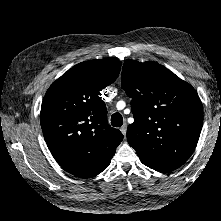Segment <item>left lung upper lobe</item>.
I'll use <instances>...</instances> for the list:
<instances>
[{"instance_id":"obj_1","label":"left lung upper lobe","mask_w":221,"mask_h":221,"mask_svg":"<svg viewBox=\"0 0 221 221\" xmlns=\"http://www.w3.org/2000/svg\"><path fill=\"white\" fill-rule=\"evenodd\" d=\"M121 86L132 99L135 120L127 128V140L139 158L182 166L203 123L195 89L157 62L132 60L124 62Z\"/></svg>"}]
</instances>
